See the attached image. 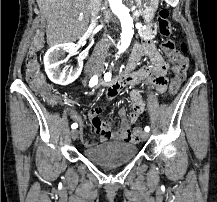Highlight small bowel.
Returning <instances> with one entry per match:
<instances>
[{
	"label": "small bowel",
	"mask_w": 217,
	"mask_h": 202,
	"mask_svg": "<svg viewBox=\"0 0 217 202\" xmlns=\"http://www.w3.org/2000/svg\"><path fill=\"white\" fill-rule=\"evenodd\" d=\"M143 51L151 59H154L153 66L135 71L130 79L121 77L111 84L105 93L107 101L115 98L126 86L137 84L143 80L152 84L157 93H162L164 91L165 80L163 74L166 70V63L158 55L157 49L151 40H145L143 45H136L133 49L130 60L135 58L137 63ZM129 100L131 104V112L128 115L125 107L119 109L121 122L120 127L117 130H112L100 117V114L107 106V103L87 108V116L101 142H117L124 144H136L139 142L142 131H132L131 123L137 121L138 117L145 111V106H151V101H143L140 93L136 90L129 93ZM67 112L72 119L81 121V117L71 108H68ZM80 139L87 148L92 147L95 144L94 141L90 142L89 140L84 139L82 130L80 131Z\"/></svg>",
	"instance_id": "1"
}]
</instances>
